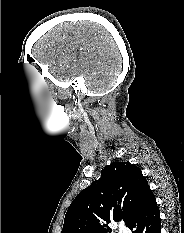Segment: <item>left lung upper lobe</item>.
Masks as SVG:
<instances>
[{
    "mask_svg": "<svg viewBox=\"0 0 184 233\" xmlns=\"http://www.w3.org/2000/svg\"><path fill=\"white\" fill-rule=\"evenodd\" d=\"M150 190L137 166L113 162L72 201L61 233H111L108 224L121 220L127 226Z\"/></svg>",
    "mask_w": 184,
    "mask_h": 233,
    "instance_id": "1",
    "label": "left lung upper lobe"
}]
</instances>
